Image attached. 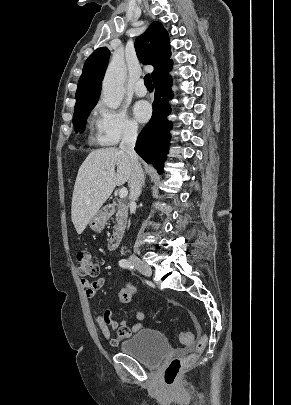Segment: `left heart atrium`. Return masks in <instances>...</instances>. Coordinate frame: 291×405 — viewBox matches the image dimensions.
Segmentation results:
<instances>
[{
  "label": "left heart atrium",
  "instance_id": "left-heart-atrium-1",
  "mask_svg": "<svg viewBox=\"0 0 291 405\" xmlns=\"http://www.w3.org/2000/svg\"><path fill=\"white\" fill-rule=\"evenodd\" d=\"M133 113L138 121H146L151 115L150 104L146 101H138L133 107Z\"/></svg>",
  "mask_w": 291,
  "mask_h": 405
}]
</instances>
